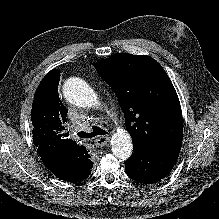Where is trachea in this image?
Listing matches in <instances>:
<instances>
[{
    "mask_svg": "<svg viewBox=\"0 0 219 219\" xmlns=\"http://www.w3.org/2000/svg\"><path fill=\"white\" fill-rule=\"evenodd\" d=\"M105 134H107V132L104 129L97 127V126H93L92 132L86 133V132L82 131V132L78 133V136L81 138H92V137H95L97 135H105Z\"/></svg>",
    "mask_w": 219,
    "mask_h": 219,
    "instance_id": "3493384b",
    "label": "trachea"
}]
</instances>
